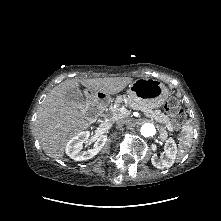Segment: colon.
Here are the masks:
<instances>
[{
  "mask_svg": "<svg viewBox=\"0 0 221 221\" xmlns=\"http://www.w3.org/2000/svg\"><path fill=\"white\" fill-rule=\"evenodd\" d=\"M164 109L174 119L176 125L183 124L186 114L176 98H169L164 105Z\"/></svg>",
  "mask_w": 221,
  "mask_h": 221,
  "instance_id": "5ec220e1",
  "label": "colon"
}]
</instances>
